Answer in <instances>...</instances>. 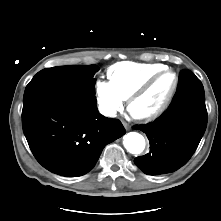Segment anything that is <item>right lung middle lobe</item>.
<instances>
[{
	"label": "right lung middle lobe",
	"mask_w": 221,
	"mask_h": 221,
	"mask_svg": "<svg viewBox=\"0 0 221 221\" xmlns=\"http://www.w3.org/2000/svg\"><path fill=\"white\" fill-rule=\"evenodd\" d=\"M99 70L96 65H74L46 68L38 72L26 89L52 87L77 94L95 96L94 74Z\"/></svg>",
	"instance_id": "dd1d6c3e"
}]
</instances>
